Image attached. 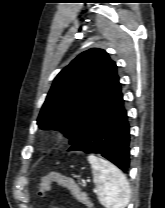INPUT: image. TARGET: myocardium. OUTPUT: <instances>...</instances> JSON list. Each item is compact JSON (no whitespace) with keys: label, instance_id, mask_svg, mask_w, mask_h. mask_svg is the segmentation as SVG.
<instances>
[{"label":"myocardium","instance_id":"f54148a6","mask_svg":"<svg viewBox=\"0 0 165 208\" xmlns=\"http://www.w3.org/2000/svg\"><path fill=\"white\" fill-rule=\"evenodd\" d=\"M67 138V134L64 131L58 130L52 134V139L56 142L63 141Z\"/></svg>","mask_w":165,"mask_h":208}]
</instances>
